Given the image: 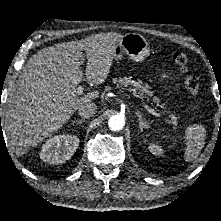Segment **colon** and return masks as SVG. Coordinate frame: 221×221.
<instances>
[{"instance_id": "1", "label": "colon", "mask_w": 221, "mask_h": 221, "mask_svg": "<svg viewBox=\"0 0 221 221\" xmlns=\"http://www.w3.org/2000/svg\"><path fill=\"white\" fill-rule=\"evenodd\" d=\"M173 61L178 69L185 75V85L188 89L191 100L193 102L194 107H198L199 101V80L194 75L190 74L189 60L186 54L178 52L173 55Z\"/></svg>"}]
</instances>
